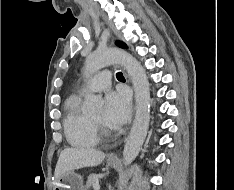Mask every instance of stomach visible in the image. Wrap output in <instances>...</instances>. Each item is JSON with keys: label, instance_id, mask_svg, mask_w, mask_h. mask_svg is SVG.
I'll use <instances>...</instances> for the list:
<instances>
[{"label": "stomach", "instance_id": "0dacf381", "mask_svg": "<svg viewBox=\"0 0 234 190\" xmlns=\"http://www.w3.org/2000/svg\"><path fill=\"white\" fill-rule=\"evenodd\" d=\"M117 163V161H108L110 166H116ZM54 190H83L82 177L74 171L65 172L56 181Z\"/></svg>", "mask_w": 234, "mask_h": 190}]
</instances>
